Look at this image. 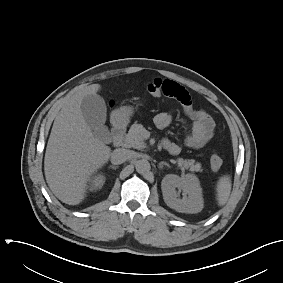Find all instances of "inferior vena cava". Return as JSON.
Returning a JSON list of instances; mask_svg holds the SVG:
<instances>
[{"instance_id":"1","label":"inferior vena cava","mask_w":283,"mask_h":283,"mask_svg":"<svg viewBox=\"0 0 283 283\" xmlns=\"http://www.w3.org/2000/svg\"><path fill=\"white\" fill-rule=\"evenodd\" d=\"M133 156H134V152L132 150H128L124 148L115 149L111 153V163L114 165H119L127 160L132 159Z\"/></svg>"}]
</instances>
